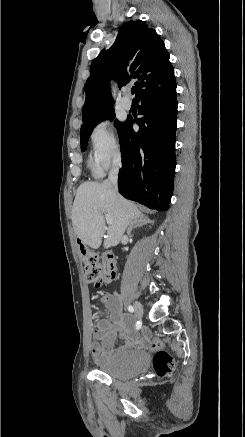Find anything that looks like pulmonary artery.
<instances>
[{"instance_id": "obj_1", "label": "pulmonary artery", "mask_w": 245, "mask_h": 437, "mask_svg": "<svg viewBox=\"0 0 245 437\" xmlns=\"http://www.w3.org/2000/svg\"><path fill=\"white\" fill-rule=\"evenodd\" d=\"M125 93L126 94L128 93V89H125ZM120 105H121V107L123 109L129 110L131 108V106H132V102H131V100L127 96H124L120 100Z\"/></svg>"}]
</instances>
